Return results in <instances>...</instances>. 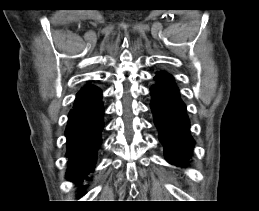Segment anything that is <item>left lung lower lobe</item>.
<instances>
[{
    "label": "left lung lower lobe",
    "instance_id": "0a47b994",
    "mask_svg": "<svg viewBox=\"0 0 259 211\" xmlns=\"http://www.w3.org/2000/svg\"><path fill=\"white\" fill-rule=\"evenodd\" d=\"M154 79L156 83L150 88L151 109L165 157L171 164L186 167L194 146L186 106L171 76L156 74Z\"/></svg>",
    "mask_w": 259,
    "mask_h": 211
}]
</instances>
